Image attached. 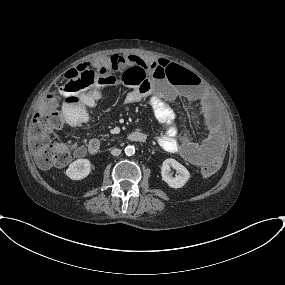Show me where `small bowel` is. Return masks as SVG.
I'll use <instances>...</instances> for the list:
<instances>
[{
    "mask_svg": "<svg viewBox=\"0 0 285 285\" xmlns=\"http://www.w3.org/2000/svg\"><path fill=\"white\" fill-rule=\"evenodd\" d=\"M146 71L152 77V85L143 92L136 90L129 91L125 95V101L129 104L147 100L153 110L155 119L164 125L163 131L157 136V143L167 152L183 156L191 163L205 167L212 163L218 156L223 154L224 139L219 129L211 122L205 121L203 128L205 138L202 141L195 140L192 136L181 137L175 120V113L171 106L161 99L153 86L166 84V77L160 75V70L153 66V62H145ZM137 60L130 57L124 58V64H136ZM175 68L185 71L186 76L180 81L186 86L193 84L195 74L182 66L175 65ZM112 79H96L94 83L79 90L63 91V115L67 124L71 127L80 126V119L84 122L89 116L90 107L96 106L100 100L103 90L107 86H113ZM65 83H63L64 87ZM178 95L177 91H174Z\"/></svg>",
    "mask_w": 285,
    "mask_h": 285,
    "instance_id": "c3829d8e",
    "label": "small bowel"
}]
</instances>
